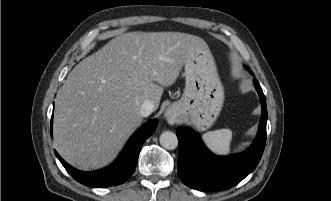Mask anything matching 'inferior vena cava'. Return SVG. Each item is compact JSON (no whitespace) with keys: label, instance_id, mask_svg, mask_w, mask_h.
Wrapping results in <instances>:
<instances>
[{"label":"inferior vena cava","instance_id":"obj_1","mask_svg":"<svg viewBox=\"0 0 331 201\" xmlns=\"http://www.w3.org/2000/svg\"><path fill=\"white\" fill-rule=\"evenodd\" d=\"M154 111V104L150 100H145L141 106L140 113L143 117H148Z\"/></svg>","mask_w":331,"mask_h":201}]
</instances>
